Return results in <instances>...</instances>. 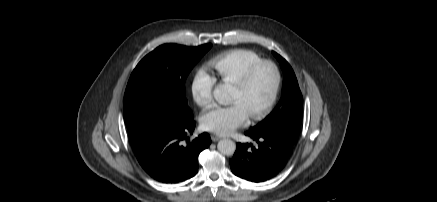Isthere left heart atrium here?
Wrapping results in <instances>:
<instances>
[{
  "label": "left heart atrium",
  "mask_w": 437,
  "mask_h": 202,
  "mask_svg": "<svg viewBox=\"0 0 437 202\" xmlns=\"http://www.w3.org/2000/svg\"><path fill=\"white\" fill-rule=\"evenodd\" d=\"M249 115L241 102L229 106L216 107L207 111L201 124L205 130L219 135L231 134L237 128L247 123Z\"/></svg>",
  "instance_id": "obj_1"
}]
</instances>
